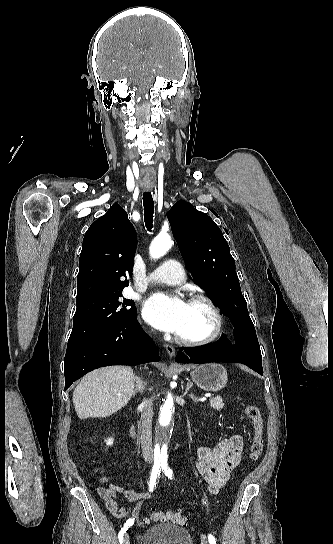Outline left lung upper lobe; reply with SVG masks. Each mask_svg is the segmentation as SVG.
<instances>
[{
  "mask_svg": "<svg viewBox=\"0 0 333 544\" xmlns=\"http://www.w3.org/2000/svg\"><path fill=\"white\" fill-rule=\"evenodd\" d=\"M168 219L182 257L196 282L221 305L233 323L248 319L247 303L235 272V261L220 228L211 217L183 200L171 208Z\"/></svg>",
  "mask_w": 333,
  "mask_h": 544,
  "instance_id": "obj_1",
  "label": "left lung upper lobe"
}]
</instances>
